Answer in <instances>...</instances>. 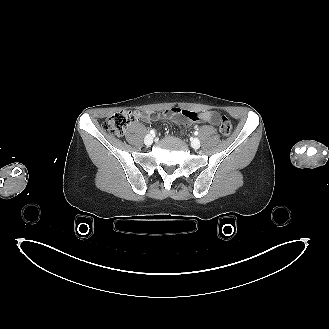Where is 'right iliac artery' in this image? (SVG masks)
<instances>
[{"label":"right iliac artery","mask_w":329,"mask_h":329,"mask_svg":"<svg viewBox=\"0 0 329 329\" xmlns=\"http://www.w3.org/2000/svg\"><path fill=\"white\" fill-rule=\"evenodd\" d=\"M150 134L154 135L155 134V130H151Z\"/></svg>","instance_id":"82829eb1"}]
</instances>
